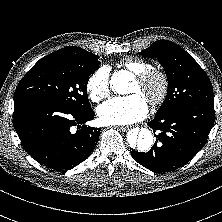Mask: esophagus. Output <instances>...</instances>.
<instances>
[{"label":"esophagus","instance_id":"1","mask_svg":"<svg viewBox=\"0 0 222 222\" xmlns=\"http://www.w3.org/2000/svg\"><path fill=\"white\" fill-rule=\"evenodd\" d=\"M118 129L121 130V131H128L129 126H119Z\"/></svg>","mask_w":222,"mask_h":222}]
</instances>
